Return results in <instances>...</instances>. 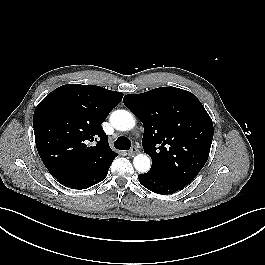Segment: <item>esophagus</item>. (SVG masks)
Wrapping results in <instances>:
<instances>
[{"label":"esophagus","mask_w":265,"mask_h":265,"mask_svg":"<svg viewBox=\"0 0 265 265\" xmlns=\"http://www.w3.org/2000/svg\"><path fill=\"white\" fill-rule=\"evenodd\" d=\"M137 151H138V149L135 147V146H133L129 151H128V155L129 156H134L136 153H137Z\"/></svg>","instance_id":"esophagus-1"}]
</instances>
